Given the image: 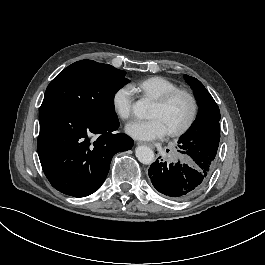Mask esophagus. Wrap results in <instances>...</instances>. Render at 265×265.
I'll list each match as a JSON object with an SVG mask.
<instances>
[{"label":"esophagus","mask_w":265,"mask_h":265,"mask_svg":"<svg viewBox=\"0 0 265 265\" xmlns=\"http://www.w3.org/2000/svg\"><path fill=\"white\" fill-rule=\"evenodd\" d=\"M137 145H145L151 149H155L154 145H152L151 143H147V142H138Z\"/></svg>","instance_id":"esophagus-1"}]
</instances>
